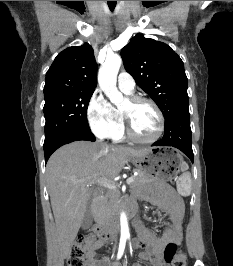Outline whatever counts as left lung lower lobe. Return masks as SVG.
Masks as SVG:
<instances>
[{
  "mask_svg": "<svg viewBox=\"0 0 233 266\" xmlns=\"http://www.w3.org/2000/svg\"><path fill=\"white\" fill-rule=\"evenodd\" d=\"M164 136L152 146H172L185 153L193 162L191 144L190 115L188 108L178 111L168 123L165 124Z\"/></svg>",
  "mask_w": 233,
  "mask_h": 266,
  "instance_id": "left-lung-lower-lobe-1",
  "label": "left lung lower lobe"
}]
</instances>
